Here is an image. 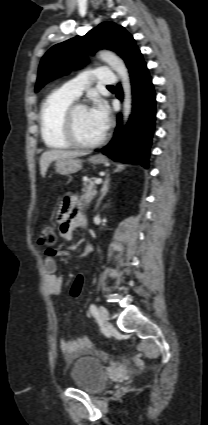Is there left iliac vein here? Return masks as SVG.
Returning a JSON list of instances; mask_svg holds the SVG:
<instances>
[{
	"instance_id": "obj_1",
	"label": "left iliac vein",
	"mask_w": 208,
	"mask_h": 425,
	"mask_svg": "<svg viewBox=\"0 0 208 425\" xmlns=\"http://www.w3.org/2000/svg\"><path fill=\"white\" fill-rule=\"evenodd\" d=\"M108 319H109L108 310L105 307L100 306L99 307V321H100L101 325L106 326L107 323H108Z\"/></svg>"
}]
</instances>
